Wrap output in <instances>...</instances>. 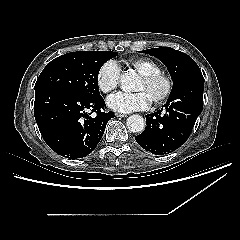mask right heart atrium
<instances>
[{"label":"right heart atrium","instance_id":"1","mask_svg":"<svg viewBox=\"0 0 240 240\" xmlns=\"http://www.w3.org/2000/svg\"><path fill=\"white\" fill-rule=\"evenodd\" d=\"M119 78L118 64L113 60L106 61L97 72V86L101 92L109 93L118 86Z\"/></svg>","mask_w":240,"mask_h":240}]
</instances>
